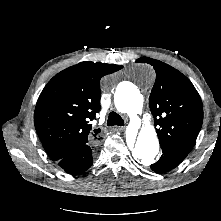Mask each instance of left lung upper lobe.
I'll use <instances>...</instances> for the list:
<instances>
[{"label":"left lung upper lobe","instance_id":"left-lung-upper-lobe-1","mask_svg":"<svg viewBox=\"0 0 221 221\" xmlns=\"http://www.w3.org/2000/svg\"><path fill=\"white\" fill-rule=\"evenodd\" d=\"M136 62L148 63L156 71L149 104L161 147L189 153L203 121L197 90L185 75L159 60L142 57Z\"/></svg>","mask_w":221,"mask_h":221}]
</instances>
